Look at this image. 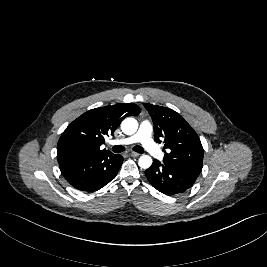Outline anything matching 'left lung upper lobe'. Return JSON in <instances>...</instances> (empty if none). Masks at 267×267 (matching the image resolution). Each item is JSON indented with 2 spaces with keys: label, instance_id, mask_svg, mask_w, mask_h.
<instances>
[{
  "label": "left lung upper lobe",
  "instance_id": "1",
  "mask_svg": "<svg viewBox=\"0 0 267 267\" xmlns=\"http://www.w3.org/2000/svg\"><path fill=\"white\" fill-rule=\"evenodd\" d=\"M154 123L155 139L164 142L163 164L199 175L203 167V147L194 129L172 109L144 104Z\"/></svg>",
  "mask_w": 267,
  "mask_h": 267
}]
</instances>
